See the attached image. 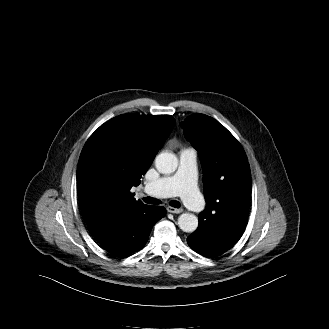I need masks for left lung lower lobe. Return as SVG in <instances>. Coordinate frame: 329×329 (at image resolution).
<instances>
[{
	"mask_svg": "<svg viewBox=\"0 0 329 329\" xmlns=\"http://www.w3.org/2000/svg\"><path fill=\"white\" fill-rule=\"evenodd\" d=\"M241 217L217 226H206L199 221L196 231L187 238L188 245L206 257L223 254L238 242L245 230L248 213L243 212Z\"/></svg>",
	"mask_w": 329,
	"mask_h": 329,
	"instance_id": "left-lung-lower-lobe-1",
	"label": "left lung lower lobe"
}]
</instances>
